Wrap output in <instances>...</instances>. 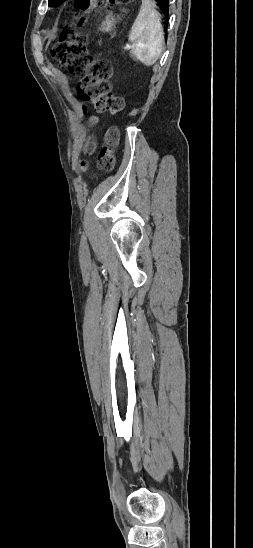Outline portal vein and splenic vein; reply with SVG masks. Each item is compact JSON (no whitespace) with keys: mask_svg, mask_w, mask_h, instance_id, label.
<instances>
[{"mask_svg":"<svg viewBox=\"0 0 253 548\" xmlns=\"http://www.w3.org/2000/svg\"><path fill=\"white\" fill-rule=\"evenodd\" d=\"M133 47H134V45L127 44V45L125 46V50H129V49H131V48H133Z\"/></svg>","mask_w":253,"mask_h":548,"instance_id":"18ae733b","label":"portal vein and splenic vein"}]
</instances>
